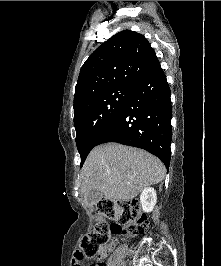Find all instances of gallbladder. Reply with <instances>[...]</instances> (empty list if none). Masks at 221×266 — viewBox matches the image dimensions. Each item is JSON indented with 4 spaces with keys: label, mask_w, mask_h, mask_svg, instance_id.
<instances>
[{
    "label": "gallbladder",
    "mask_w": 221,
    "mask_h": 266,
    "mask_svg": "<svg viewBox=\"0 0 221 266\" xmlns=\"http://www.w3.org/2000/svg\"><path fill=\"white\" fill-rule=\"evenodd\" d=\"M103 198V193L98 188L91 189L85 196V201L88 205L92 206L98 203Z\"/></svg>",
    "instance_id": "1"
}]
</instances>
